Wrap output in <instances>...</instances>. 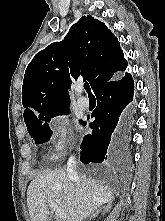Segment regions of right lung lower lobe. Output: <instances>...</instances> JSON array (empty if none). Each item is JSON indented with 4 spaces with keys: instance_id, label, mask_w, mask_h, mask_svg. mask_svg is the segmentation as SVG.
Wrapping results in <instances>:
<instances>
[{
    "instance_id": "98d812e1",
    "label": "right lung lower lobe",
    "mask_w": 165,
    "mask_h": 221,
    "mask_svg": "<svg viewBox=\"0 0 165 221\" xmlns=\"http://www.w3.org/2000/svg\"><path fill=\"white\" fill-rule=\"evenodd\" d=\"M94 93L97 107L91 117L95 120L89 124L93 132L81 143V161L84 164L104 161L122 166L130 158V120L122 111L133 99L131 74L101 85Z\"/></svg>"
}]
</instances>
